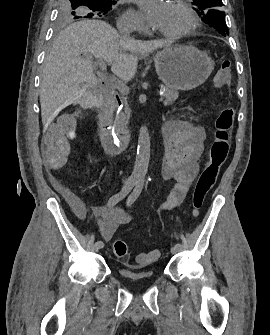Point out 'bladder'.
<instances>
[{
	"label": "bladder",
	"instance_id": "bladder-1",
	"mask_svg": "<svg viewBox=\"0 0 270 335\" xmlns=\"http://www.w3.org/2000/svg\"><path fill=\"white\" fill-rule=\"evenodd\" d=\"M124 281L136 284L144 280H152L154 278L153 272L135 273L133 271H122Z\"/></svg>",
	"mask_w": 270,
	"mask_h": 335
}]
</instances>
